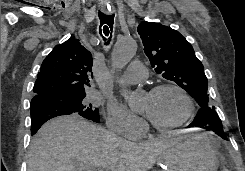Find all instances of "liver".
<instances>
[{
	"label": "liver",
	"mask_w": 245,
	"mask_h": 171,
	"mask_svg": "<svg viewBox=\"0 0 245 171\" xmlns=\"http://www.w3.org/2000/svg\"><path fill=\"white\" fill-rule=\"evenodd\" d=\"M178 133L130 142L77 115L44 124L35 136L28 171H149L157 157L179 141Z\"/></svg>",
	"instance_id": "liver-1"
}]
</instances>
